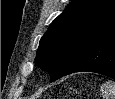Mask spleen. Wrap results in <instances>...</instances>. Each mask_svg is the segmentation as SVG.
<instances>
[{"instance_id":"3e777b00","label":"spleen","mask_w":115,"mask_h":99,"mask_svg":"<svg viewBox=\"0 0 115 99\" xmlns=\"http://www.w3.org/2000/svg\"><path fill=\"white\" fill-rule=\"evenodd\" d=\"M101 95L104 99H115V82L106 81L101 85Z\"/></svg>"}]
</instances>
